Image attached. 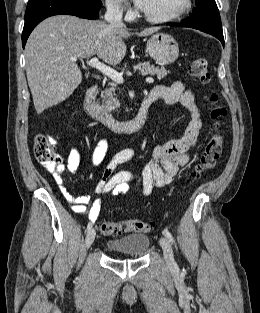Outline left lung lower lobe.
Segmentation results:
<instances>
[{
	"mask_svg": "<svg viewBox=\"0 0 260 313\" xmlns=\"http://www.w3.org/2000/svg\"><path fill=\"white\" fill-rule=\"evenodd\" d=\"M171 26L192 27L189 23H188L187 25L180 24V23H174V24H171ZM192 28H194V27H192ZM203 32L215 36V37L218 38V39L221 41V43L224 45V37H223V34H222V33L213 32V31H203Z\"/></svg>",
	"mask_w": 260,
	"mask_h": 313,
	"instance_id": "1",
	"label": "left lung lower lobe"
}]
</instances>
